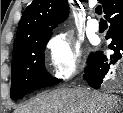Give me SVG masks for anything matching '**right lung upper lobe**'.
Masks as SVG:
<instances>
[{"label": "right lung upper lobe", "instance_id": "right-lung-upper-lobe-1", "mask_svg": "<svg viewBox=\"0 0 123 113\" xmlns=\"http://www.w3.org/2000/svg\"><path fill=\"white\" fill-rule=\"evenodd\" d=\"M112 1L99 0L104 13ZM68 13L67 0H33L19 22L13 50L26 41L51 34L52 28L61 23Z\"/></svg>", "mask_w": 123, "mask_h": 113}]
</instances>
